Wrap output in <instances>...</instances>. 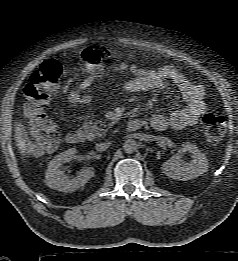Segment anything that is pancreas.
Wrapping results in <instances>:
<instances>
[{
	"label": "pancreas",
	"instance_id": "obj_1",
	"mask_svg": "<svg viewBox=\"0 0 238 261\" xmlns=\"http://www.w3.org/2000/svg\"><path fill=\"white\" fill-rule=\"evenodd\" d=\"M113 122L106 123V121L96 120V121H86L83 124V131L86 134L87 138L92 140L96 137H100L105 134L108 130L106 127L113 126Z\"/></svg>",
	"mask_w": 238,
	"mask_h": 261
}]
</instances>
